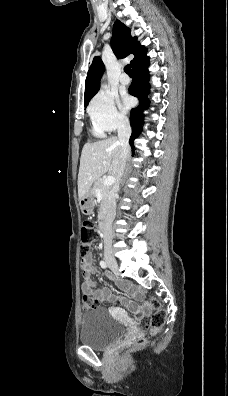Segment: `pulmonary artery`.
<instances>
[{"mask_svg":"<svg viewBox=\"0 0 228 396\" xmlns=\"http://www.w3.org/2000/svg\"><path fill=\"white\" fill-rule=\"evenodd\" d=\"M119 81H120L121 84L126 85V84H128L130 82V79H129V77L126 74H121L119 76Z\"/></svg>","mask_w":228,"mask_h":396,"instance_id":"e3ab8cb5","label":"pulmonary artery"}]
</instances>
